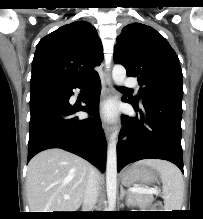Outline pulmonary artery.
<instances>
[{
	"label": "pulmonary artery",
	"instance_id": "e3ab8cb5",
	"mask_svg": "<svg viewBox=\"0 0 203 219\" xmlns=\"http://www.w3.org/2000/svg\"><path fill=\"white\" fill-rule=\"evenodd\" d=\"M124 84L128 88H135L137 90L139 88L138 83H137L136 79H134V78L125 79Z\"/></svg>",
	"mask_w": 203,
	"mask_h": 219
}]
</instances>
